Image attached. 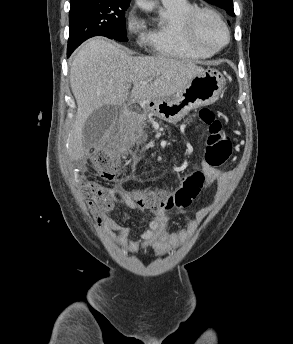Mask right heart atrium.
I'll return each mask as SVG.
<instances>
[{
  "instance_id": "d8ad5b80",
  "label": "right heart atrium",
  "mask_w": 293,
  "mask_h": 344,
  "mask_svg": "<svg viewBox=\"0 0 293 344\" xmlns=\"http://www.w3.org/2000/svg\"><path fill=\"white\" fill-rule=\"evenodd\" d=\"M125 27L129 34L139 35L144 30V22L134 10H131L126 15Z\"/></svg>"
}]
</instances>
